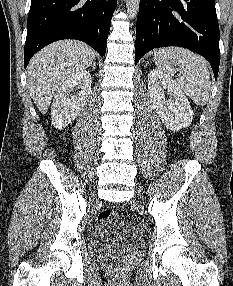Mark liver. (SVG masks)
<instances>
[{
  "instance_id": "6515ba94",
  "label": "liver",
  "mask_w": 233,
  "mask_h": 286,
  "mask_svg": "<svg viewBox=\"0 0 233 286\" xmlns=\"http://www.w3.org/2000/svg\"><path fill=\"white\" fill-rule=\"evenodd\" d=\"M95 58L91 47L76 40L52 43L31 59L27 77L31 98L46 114L59 87L75 73L89 67Z\"/></svg>"
}]
</instances>
